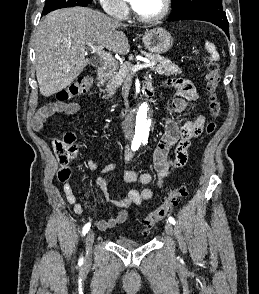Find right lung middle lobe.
Returning <instances> with one entry per match:
<instances>
[{"label":"right lung middle lobe","instance_id":"obj_1","mask_svg":"<svg viewBox=\"0 0 259 294\" xmlns=\"http://www.w3.org/2000/svg\"><path fill=\"white\" fill-rule=\"evenodd\" d=\"M92 0H46L42 15L54 11L56 9L74 6L86 7Z\"/></svg>","mask_w":259,"mask_h":294}]
</instances>
